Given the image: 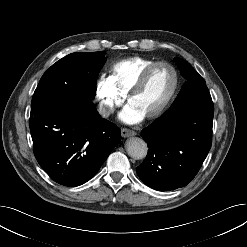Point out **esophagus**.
Wrapping results in <instances>:
<instances>
[{
	"mask_svg": "<svg viewBox=\"0 0 247 247\" xmlns=\"http://www.w3.org/2000/svg\"><path fill=\"white\" fill-rule=\"evenodd\" d=\"M121 135H122V137L126 138V137L136 135V132L133 130L127 129V128H122L121 129Z\"/></svg>",
	"mask_w": 247,
	"mask_h": 247,
	"instance_id": "esophagus-1",
	"label": "esophagus"
}]
</instances>
